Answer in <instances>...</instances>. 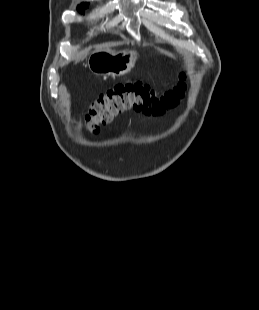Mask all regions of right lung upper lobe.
<instances>
[{
  "label": "right lung upper lobe",
  "mask_w": 259,
  "mask_h": 310,
  "mask_svg": "<svg viewBox=\"0 0 259 310\" xmlns=\"http://www.w3.org/2000/svg\"><path fill=\"white\" fill-rule=\"evenodd\" d=\"M84 4H86V3H82V4H80V5H84ZM80 5H79V6H80Z\"/></svg>",
  "instance_id": "1"
}]
</instances>
